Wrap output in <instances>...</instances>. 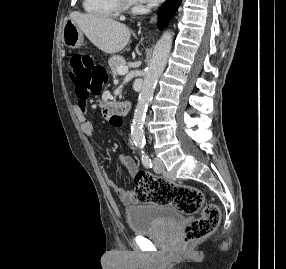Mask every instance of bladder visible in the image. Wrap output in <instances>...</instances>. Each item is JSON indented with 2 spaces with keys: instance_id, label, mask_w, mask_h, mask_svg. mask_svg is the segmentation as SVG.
I'll return each mask as SVG.
<instances>
[{
  "instance_id": "obj_1",
  "label": "bladder",
  "mask_w": 286,
  "mask_h": 269,
  "mask_svg": "<svg viewBox=\"0 0 286 269\" xmlns=\"http://www.w3.org/2000/svg\"><path fill=\"white\" fill-rule=\"evenodd\" d=\"M125 217L134 234L144 235L180 222L182 213L168 205L146 203L126 208Z\"/></svg>"
}]
</instances>
